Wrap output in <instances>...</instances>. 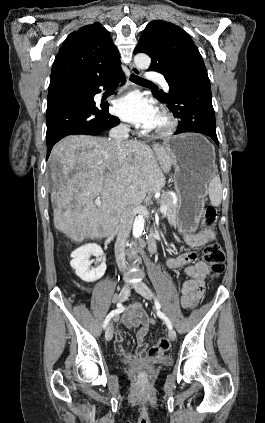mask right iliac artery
<instances>
[{
  "instance_id": "obj_1",
  "label": "right iliac artery",
  "mask_w": 265,
  "mask_h": 423,
  "mask_svg": "<svg viewBox=\"0 0 265 423\" xmlns=\"http://www.w3.org/2000/svg\"><path fill=\"white\" fill-rule=\"evenodd\" d=\"M123 310H124V306H123L121 303H118V304H117V309H115V310L111 311V312L107 315V317H106V319H105V321H104V324H103V328L105 329V328L107 327V325H108V323H109L110 319H111L114 315L121 313Z\"/></svg>"
}]
</instances>
